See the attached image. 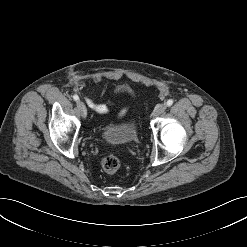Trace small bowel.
Masks as SVG:
<instances>
[{
    "label": "small bowel",
    "instance_id": "1",
    "mask_svg": "<svg viewBox=\"0 0 247 247\" xmlns=\"http://www.w3.org/2000/svg\"><path fill=\"white\" fill-rule=\"evenodd\" d=\"M88 104L98 113L100 114H108L110 112V108L113 106V103L108 101L106 103H96L91 99H87ZM128 111L127 107H124L120 113L119 116H124Z\"/></svg>",
    "mask_w": 247,
    "mask_h": 247
}]
</instances>
